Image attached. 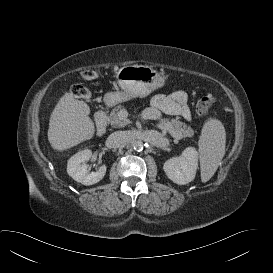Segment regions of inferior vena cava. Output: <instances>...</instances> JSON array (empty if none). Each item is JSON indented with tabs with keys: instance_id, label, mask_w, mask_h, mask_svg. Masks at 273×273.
<instances>
[{
	"instance_id": "inferior-vena-cava-1",
	"label": "inferior vena cava",
	"mask_w": 273,
	"mask_h": 273,
	"mask_svg": "<svg viewBox=\"0 0 273 273\" xmlns=\"http://www.w3.org/2000/svg\"><path fill=\"white\" fill-rule=\"evenodd\" d=\"M128 136L126 131H116L109 135L107 143L113 148H119L126 144Z\"/></svg>"
}]
</instances>
